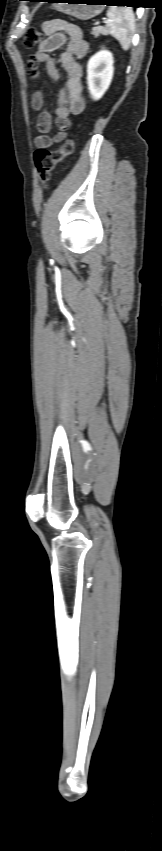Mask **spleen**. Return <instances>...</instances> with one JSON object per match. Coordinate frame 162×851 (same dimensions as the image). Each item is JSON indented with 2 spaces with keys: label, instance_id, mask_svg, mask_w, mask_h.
<instances>
[{
  "label": "spleen",
  "instance_id": "1",
  "mask_svg": "<svg viewBox=\"0 0 162 851\" xmlns=\"http://www.w3.org/2000/svg\"><path fill=\"white\" fill-rule=\"evenodd\" d=\"M108 22L106 31L115 37L123 50H128L131 45V37L135 28L133 10L127 7H109L107 11Z\"/></svg>",
  "mask_w": 162,
  "mask_h": 851
}]
</instances>
